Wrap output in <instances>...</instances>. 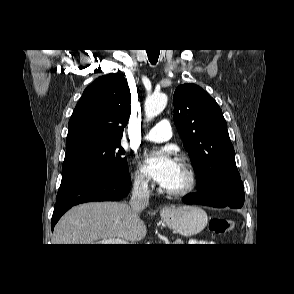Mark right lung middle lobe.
Wrapping results in <instances>:
<instances>
[{
	"label": "right lung middle lobe",
	"instance_id": "obj_1",
	"mask_svg": "<svg viewBox=\"0 0 294 294\" xmlns=\"http://www.w3.org/2000/svg\"><path fill=\"white\" fill-rule=\"evenodd\" d=\"M124 154L121 142L86 139L66 144L62 179L84 171L126 175L128 166L122 157Z\"/></svg>",
	"mask_w": 294,
	"mask_h": 294
}]
</instances>
